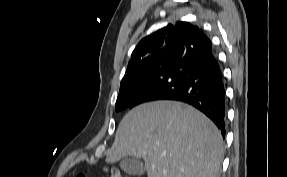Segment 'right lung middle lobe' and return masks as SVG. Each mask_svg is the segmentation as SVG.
<instances>
[{"label":"right lung middle lobe","mask_w":287,"mask_h":177,"mask_svg":"<svg viewBox=\"0 0 287 177\" xmlns=\"http://www.w3.org/2000/svg\"><path fill=\"white\" fill-rule=\"evenodd\" d=\"M180 60L178 56L166 57L121 82L116 111L128 108L149 85L178 64Z\"/></svg>","instance_id":"right-lung-middle-lobe-1"}]
</instances>
